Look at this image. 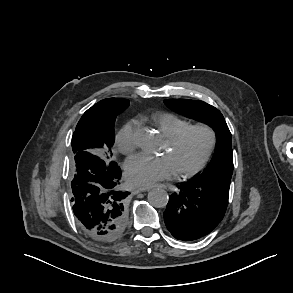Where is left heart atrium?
I'll list each match as a JSON object with an SVG mask.
<instances>
[{"instance_id": "left-heart-atrium-1", "label": "left heart atrium", "mask_w": 293, "mask_h": 293, "mask_svg": "<svg viewBox=\"0 0 293 293\" xmlns=\"http://www.w3.org/2000/svg\"><path fill=\"white\" fill-rule=\"evenodd\" d=\"M176 173L169 156H152L140 153L132 156L126 162L128 180L136 185H154L159 181L169 179Z\"/></svg>"}]
</instances>
